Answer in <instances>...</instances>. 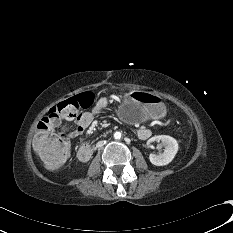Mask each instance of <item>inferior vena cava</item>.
<instances>
[{
	"label": "inferior vena cava",
	"mask_w": 233,
	"mask_h": 233,
	"mask_svg": "<svg viewBox=\"0 0 233 233\" xmlns=\"http://www.w3.org/2000/svg\"><path fill=\"white\" fill-rule=\"evenodd\" d=\"M97 146H98V147L103 146V142H102V141H99V142L97 143Z\"/></svg>",
	"instance_id": "obj_1"
}]
</instances>
